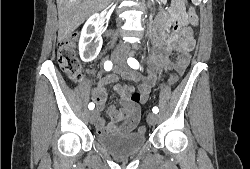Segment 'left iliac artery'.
Instances as JSON below:
<instances>
[{
  "instance_id": "44dca946",
  "label": "left iliac artery",
  "mask_w": 250,
  "mask_h": 169,
  "mask_svg": "<svg viewBox=\"0 0 250 169\" xmlns=\"http://www.w3.org/2000/svg\"><path fill=\"white\" fill-rule=\"evenodd\" d=\"M127 63L133 69L139 68V62L133 57L128 58ZM152 111H153V113L157 114L159 112V109H158V107L155 106V107H153Z\"/></svg>"
}]
</instances>
